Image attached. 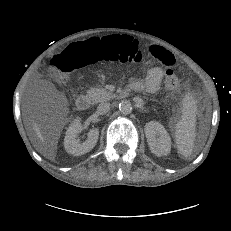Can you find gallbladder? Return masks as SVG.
<instances>
[{
  "instance_id": "gallbladder-1",
  "label": "gallbladder",
  "mask_w": 231,
  "mask_h": 231,
  "mask_svg": "<svg viewBox=\"0 0 231 231\" xmlns=\"http://www.w3.org/2000/svg\"><path fill=\"white\" fill-rule=\"evenodd\" d=\"M48 89H52V87L48 86Z\"/></svg>"
}]
</instances>
